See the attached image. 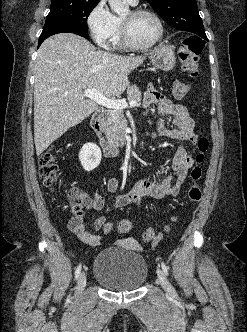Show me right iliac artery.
Masks as SVG:
<instances>
[{
  "instance_id": "right-iliac-artery-1",
  "label": "right iliac artery",
  "mask_w": 247,
  "mask_h": 332,
  "mask_svg": "<svg viewBox=\"0 0 247 332\" xmlns=\"http://www.w3.org/2000/svg\"><path fill=\"white\" fill-rule=\"evenodd\" d=\"M81 273V264H79L75 270V279L77 280Z\"/></svg>"
}]
</instances>
